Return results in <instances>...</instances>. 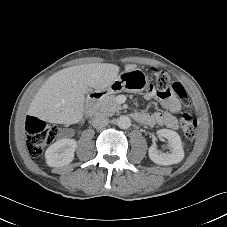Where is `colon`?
I'll list each match as a JSON object with an SVG mask.
<instances>
[{"label":"colon","mask_w":227,"mask_h":227,"mask_svg":"<svg viewBox=\"0 0 227 227\" xmlns=\"http://www.w3.org/2000/svg\"><path fill=\"white\" fill-rule=\"evenodd\" d=\"M154 84L157 86V89H170L181 99L184 106H190V99L182 84L172 82L166 72H156ZM181 129L186 138L193 139L197 131V120L190 113H184L181 117ZM26 132L28 153L32 157H39L44 147L56 139L59 129L54 124L29 116L26 119Z\"/></svg>","instance_id":"1"}]
</instances>
